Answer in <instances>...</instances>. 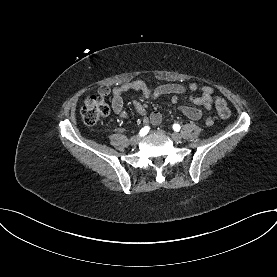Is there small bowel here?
<instances>
[{
	"label": "small bowel",
	"mask_w": 277,
	"mask_h": 277,
	"mask_svg": "<svg viewBox=\"0 0 277 277\" xmlns=\"http://www.w3.org/2000/svg\"><path fill=\"white\" fill-rule=\"evenodd\" d=\"M199 92V96L191 95L190 101L196 106H203L207 111L212 109L214 89L210 86H199L196 83H190L187 86L182 84H162L155 88L149 87L141 80H135L128 83H123L112 90L102 86L98 89L97 94L106 97L111 94V106L115 114L123 119H128L129 114L124 109L123 94L129 91L141 92L145 99L162 100L166 96H171V102L177 106L178 110L191 120H198L202 117V111L193 106L179 105L178 96L186 93V91ZM135 110L143 117V122L159 125L162 121V115L158 111L148 114L145 106L138 100L133 101ZM207 125H212V119H207Z\"/></svg>",
	"instance_id": "small-bowel-1"
}]
</instances>
